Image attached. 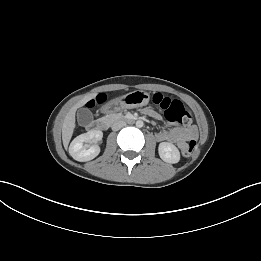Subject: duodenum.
Returning a JSON list of instances; mask_svg holds the SVG:
<instances>
[{"label":"duodenum","instance_id":"1","mask_svg":"<svg viewBox=\"0 0 261 261\" xmlns=\"http://www.w3.org/2000/svg\"><path fill=\"white\" fill-rule=\"evenodd\" d=\"M125 121L128 123H134L136 121V118L129 116L125 118ZM109 120L107 119H99L96 120L93 124H92V129L93 130H106L109 127Z\"/></svg>","mask_w":261,"mask_h":261}]
</instances>
